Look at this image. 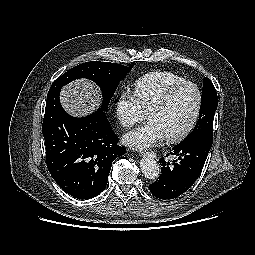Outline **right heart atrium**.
I'll list each match as a JSON object with an SVG mask.
<instances>
[{"mask_svg": "<svg viewBox=\"0 0 255 255\" xmlns=\"http://www.w3.org/2000/svg\"><path fill=\"white\" fill-rule=\"evenodd\" d=\"M115 115L122 127L130 128L145 117V112L134 94L128 90H123L120 92L115 104Z\"/></svg>", "mask_w": 255, "mask_h": 255, "instance_id": "1", "label": "right heart atrium"}]
</instances>
